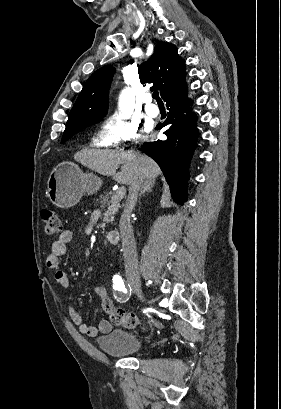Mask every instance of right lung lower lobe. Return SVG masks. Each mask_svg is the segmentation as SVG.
I'll return each mask as SVG.
<instances>
[{
	"label": "right lung lower lobe",
	"mask_w": 281,
	"mask_h": 409,
	"mask_svg": "<svg viewBox=\"0 0 281 409\" xmlns=\"http://www.w3.org/2000/svg\"><path fill=\"white\" fill-rule=\"evenodd\" d=\"M165 101L169 109L168 118L164 123L158 124L156 129L167 126V130L164 131L167 139L144 143L143 148L144 152L161 167L175 202L183 204L187 196L186 166L198 136L195 124L197 117L190 113L185 78ZM183 113H187V116Z\"/></svg>",
	"instance_id": "1"
}]
</instances>
